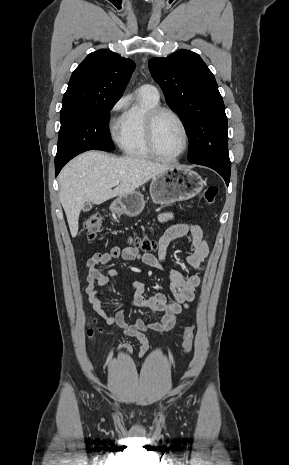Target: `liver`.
I'll list each match as a JSON object with an SVG mask.
<instances>
[{
  "label": "liver",
  "instance_id": "6515ba94",
  "mask_svg": "<svg viewBox=\"0 0 289 465\" xmlns=\"http://www.w3.org/2000/svg\"><path fill=\"white\" fill-rule=\"evenodd\" d=\"M171 166L136 157H115L98 151L85 152L71 160L59 174V198L72 237L86 202L101 204L116 196L134 192ZM119 185L112 189L111 184Z\"/></svg>",
  "mask_w": 289,
  "mask_h": 465
}]
</instances>
